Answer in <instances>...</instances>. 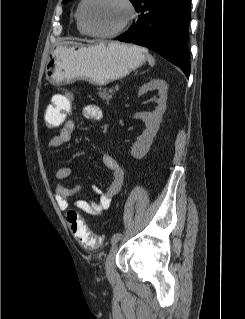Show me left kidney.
Segmentation results:
<instances>
[{
	"mask_svg": "<svg viewBox=\"0 0 245 319\" xmlns=\"http://www.w3.org/2000/svg\"><path fill=\"white\" fill-rule=\"evenodd\" d=\"M167 89V84L162 79H153L142 85L139 89L138 94L140 96L148 91L158 90L159 99L158 106L153 112H140L135 114L137 118L145 122L146 129L133 144L131 155L134 158L141 159L150 149L153 138L160 127L162 116L166 110Z\"/></svg>",
	"mask_w": 245,
	"mask_h": 319,
	"instance_id": "obj_1",
	"label": "left kidney"
}]
</instances>
